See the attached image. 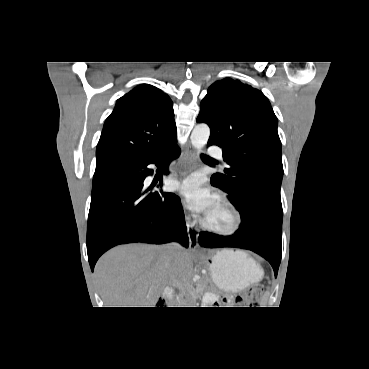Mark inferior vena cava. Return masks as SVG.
Masks as SVG:
<instances>
[{"mask_svg":"<svg viewBox=\"0 0 369 369\" xmlns=\"http://www.w3.org/2000/svg\"><path fill=\"white\" fill-rule=\"evenodd\" d=\"M165 249H166L165 252L168 255V257H171L180 249V246L177 243H170L165 247Z\"/></svg>","mask_w":369,"mask_h":369,"instance_id":"inferior-vena-cava-1","label":"inferior vena cava"}]
</instances>
